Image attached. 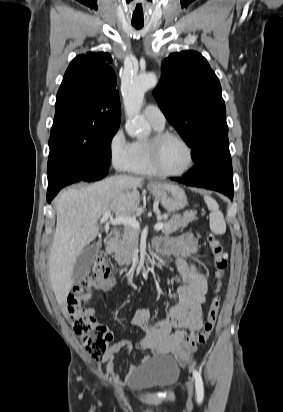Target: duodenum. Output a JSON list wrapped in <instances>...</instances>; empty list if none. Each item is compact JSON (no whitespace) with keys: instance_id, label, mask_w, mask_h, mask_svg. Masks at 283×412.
<instances>
[{"instance_id":"duodenum-1","label":"duodenum","mask_w":283,"mask_h":412,"mask_svg":"<svg viewBox=\"0 0 283 412\" xmlns=\"http://www.w3.org/2000/svg\"><path fill=\"white\" fill-rule=\"evenodd\" d=\"M118 236H119V231L117 229H112L109 232L108 236L105 239V246H106L108 252H111L112 248L114 247L115 243L117 242Z\"/></svg>"}]
</instances>
